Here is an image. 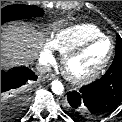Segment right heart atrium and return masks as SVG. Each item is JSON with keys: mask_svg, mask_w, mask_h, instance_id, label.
<instances>
[{"mask_svg": "<svg viewBox=\"0 0 122 122\" xmlns=\"http://www.w3.org/2000/svg\"><path fill=\"white\" fill-rule=\"evenodd\" d=\"M40 61L44 65H49L54 61V47L51 41H46L41 53H40Z\"/></svg>", "mask_w": 122, "mask_h": 122, "instance_id": "1", "label": "right heart atrium"}]
</instances>
